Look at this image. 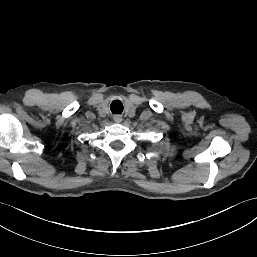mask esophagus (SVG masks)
Listing matches in <instances>:
<instances>
[{"instance_id":"1","label":"esophagus","mask_w":257,"mask_h":257,"mask_svg":"<svg viewBox=\"0 0 257 257\" xmlns=\"http://www.w3.org/2000/svg\"><path fill=\"white\" fill-rule=\"evenodd\" d=\"M113 120H114L116 123H120V122H122V116L119 115V114H115V115L113 116Z\"/></svg>"}]
</instances>
